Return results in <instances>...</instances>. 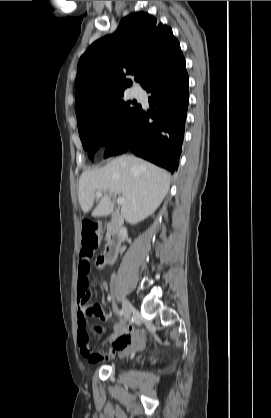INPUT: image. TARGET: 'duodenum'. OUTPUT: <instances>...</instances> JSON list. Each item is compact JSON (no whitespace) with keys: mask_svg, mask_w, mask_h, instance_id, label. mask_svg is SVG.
<instances>
[{"mask_svg":"<svg viewBox=\"0 0 271 418\" xmlns=\"http://www.w3.org/2000/svg\"><path fill=\"white\" fill-rule=\"evenodd\" d=\"M124 233L125 229L120 223L117 215H113L112 220L108 225L107 244L104 253L100 258L102 264H112L116 260Z\"/></svg>","mask_w":271,"mask_h":418,"instance_id":"obj_1","label":"duodenum"}]
</instances>
